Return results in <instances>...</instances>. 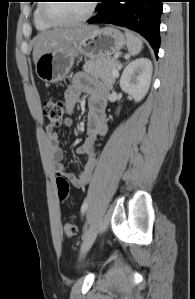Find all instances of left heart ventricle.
<instances>
[{
	"label": "left heart ventricle",
	"instance_id": "obj_1",
	"mask_svg": "<svg viewBox=\"0 0 195 299\" xmlns=\"http://www.w3.org/2000/svg\"><path fill=\"white\" fill-rule=\"evenodd\" d=\"M90 1H69L50 3L48 13L57 20H71L86 14Z\"/></svg>",
	"mask_w": 195,
	"mask_h": 299
}]
</instances>
